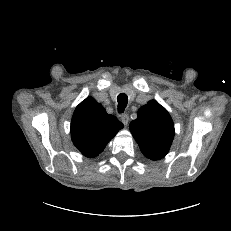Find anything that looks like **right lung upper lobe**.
Returning <instances> with one entry per match:
<instances>
[{
    "instance_id": "right-lung-upper-lobe-1",
    "label": "right lung upper lobe",
    "mask_w": 231,
    "mask_h": 231,
    "mask_svg": "<svg viewBox=\"0 0 231 231\" xmlns=\"http://www.w3.org/2000/svg\"><path fill=\"white\" fill-rule=\"evenodd\" d=\"M123 128V124L92 97L86 98L75 109L71 121L73 144L86 157L103 151L108 142Z\"/></svg>"
}]
</instances>
